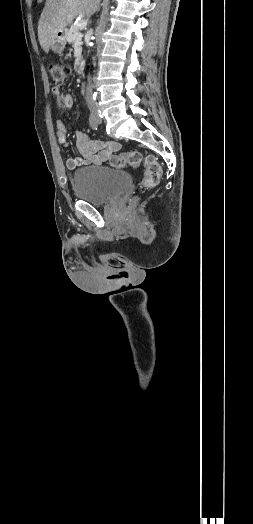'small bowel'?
Returning a JSON list of instances; mask_svg holds the SVG:
<instances>
[{"label": "small bowel", "instance_id": "1", "mask_svg": "<svg viewBox=\"0 0 253 524\" xmlns=\"http://www.w3.org/2000/svg\"><path fill=\"white\" fill-rule=\"evenodd\" d=\"M52 93L56 97L60 108L68 109L73 105L72 96L62 94L59 86L53 87ZM56 135L59 143L63 147L68 148L69 142L66 127L64 122L60 119L56 121ZM75 136L80 156H72L66 160V167L70 170L91 163L102 165L108 161L113 153L120 149V144L116 141L91 140L90 137L82 131H77Z\"/></svg>", "mask_w": 253, "mask_h": 524}]
</instances>
